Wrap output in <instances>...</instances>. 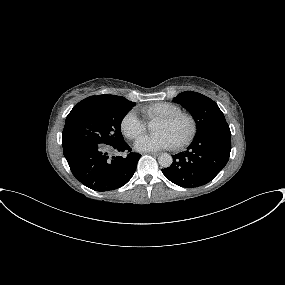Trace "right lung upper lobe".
<instances>
[{
    "label": "right lung upper lobe",
    "mask_w": 285,
    "mask_h": 285,
    "mask_svg": "<svg viewBox=\"0 0 285 285\" xmlns=\"http://www.w3.org/2000/svg\"><path fill=\"white\" fill-rule=\"evenodd\" d=\"M125 99L122 96H116V95H98V96H90L81 102H79L74 108H78L84 105L94 104V103H106L111 101H118Z\"/></svg>",
    "instance_id": "1"
}]
</instances>
